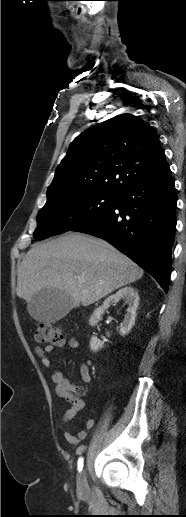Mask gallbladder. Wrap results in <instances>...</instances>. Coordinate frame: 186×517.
Returning a JSON list of instances; mask_svg holds the SVG:
<instances>
[{"instance_id":"bac80fb5","label":"gallbladder","mask_w":186,"mask_h":517,"mask_svg":"<svg viewBox=\"0 0 186 517\" xmlns=\"http://www.w3.org/2000/svg\"><path fill=\"white\" fill-rule=\"evenodd\" d=\"M72 308L71 297L57 289H43L28 302V312L35 320L54 322L65 317Z\"/></svg>"}]
</instances>
